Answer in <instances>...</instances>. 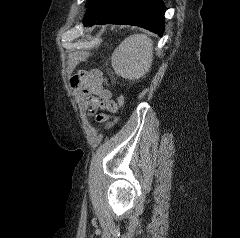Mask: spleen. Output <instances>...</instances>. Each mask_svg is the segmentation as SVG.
I'll list each match as a JSON object with an SVG mask.
<instances>
[{"mask_svg":"<svg viewBox=\"0 0 240 238\" xmlns=\"http://www.w3.org/2000/svg\"><path fill=\"white\" fill-rule=\"evenodd\" d=\"M152 61L153 42L145 34L125 38L111 56L114 71L130 80L139 79L149 72Z\"/></svg>","mask_w":240,"mask_h":238,"instance_id":"obj_1","label":"spleen"}]
</instances>
